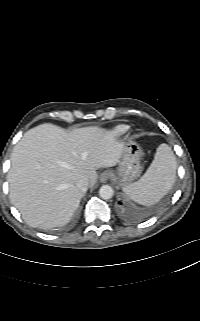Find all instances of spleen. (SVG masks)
Returning a JSON list of instances; mask_svg holds the SVG:
<instances>
[{"mask_svg":"<svg viewBox=\"0 0 200 321\" xmlns=\"http://www.w3.org/2000/svg\"><path fill=\"white\" fill-rule=\"evenodd\" d=\"M176 157L167 144L158 146L154 160L145 174L136 182L123 188L134 202L150 206L159 202L172 188L176 180Z\"/></svg>","mask_w":200,"mask_h":321,"instance_id":"1","label":"spleen"}]
</instances>
